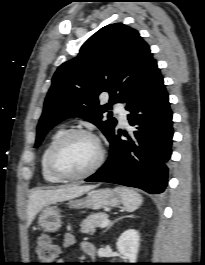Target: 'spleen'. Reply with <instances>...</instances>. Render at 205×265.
Wrapping results in <instances>:
<instances>
[{
	"label": "spleen",
	"instance_id": "spleen-1",
	"mask_svg": "<svg viewBox=\"0 0 205 265\" xmlns=\"http://www.w3.org/2000/svg\"><path fill=\"white\" fill-rule=\"evenodd\" d=\"M115 192L121 197L124 209L133 212L143 202V197L135 190L125 187H116Z\"/></svg>",
	"mask_w": 205,
	"mask_h": 265
}]
</instances>
